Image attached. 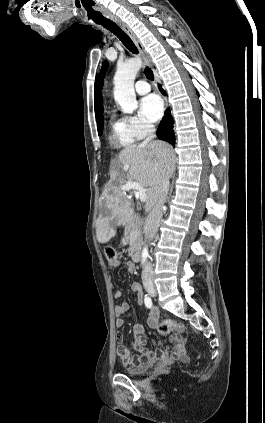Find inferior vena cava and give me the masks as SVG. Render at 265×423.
<instances>
[{"instance_id": "602c4592", "label": "inferior vena cava", "mask_w": 265, "mask_h": 423, "mask_svg": "<svg viewBox=\"0 0 265 423\" xmlns=\"http://www.w3.org/2000/svg\"><path fill=\"white\" fill-rule=\"evenodd\" d=\"M147 137L141 143L142 145H147L152 142V140L156 137V129L154 125L148 124L147 125ZM169 190V177L165 176L162 185L160 188V192L158 195V199L155 203L154 208L149 214V217L144 225V235L147 239L152 240L157 233L159 221L163 214V205L166 201V197ZM153 276V266L150 262H146L144 264L142 270V280H146Z\"/></svg>"}]
</instances>
